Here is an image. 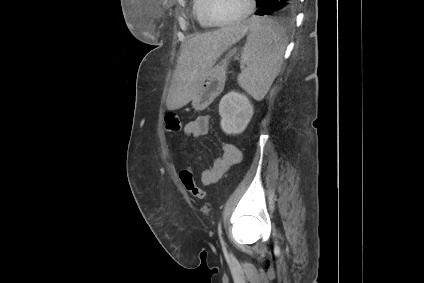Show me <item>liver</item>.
I'll list each match as a JSON object with an SVG mask.
<instances>
[{"instance_id": "6515ba94", "label": "liver", "mask_w": 424, "mask_h": 283, "mask_svg": "<svg viewBox=\"0 0 424 283\" xmlns=\"http://www.w3.org/2000/svg\"><path fill=\"white\" fill-rule=\"evenodd\" d=\"M248 29L247 22L232 23L214 31L196 34L182 43L166 100L167 108L176 110L188 104L223 51L240 41Z\"/></svg>"}]
</instances>
